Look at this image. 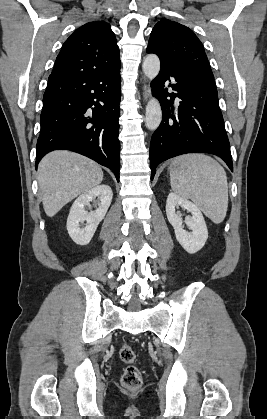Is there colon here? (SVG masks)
I'll return each mask as SVG.
<instances>
[{"mask_svg": "<svg viewBox=\"0 0 267 419\" xmlns=\"http://www.w3.org/2000/svg\"><path fill=\"white\" fill-rule=\"evenodd\" d=\"M119 358L127 364L121 377L123 386L131 390L138 389L142 385L143 379L139 368L134 365L136 354L132 347L122 344L119 348Z\"/></svg>", "mask_w": 267, "mask_h": 419, "instance_id": "1", "label": "colon"}]
</instances>
